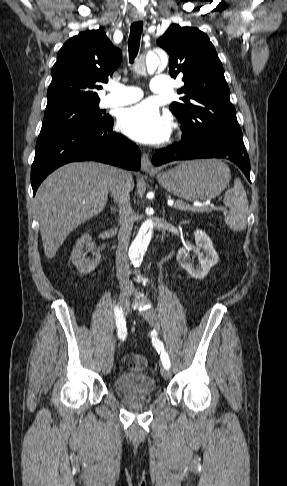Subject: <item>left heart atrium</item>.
Here are the masks:
<instances>
[{
  "instance_id": "39dd6f15",
  "label": "left heart atrium",
  "mask_w": 287,
  "mask_h": 486,
  "mask_svg": "<svg viewBox=\"0 0 287 486\" xmlns=\"http://www.w3.org/2000/svg\"><path fill=\"white\" fill-rule=\"evenodd\" d=\"M120 129L130 138L145 144H157L169 136L171 122L157 106L142 102L125 109L119 118Z\"/></svg>"
}]
</instances>
